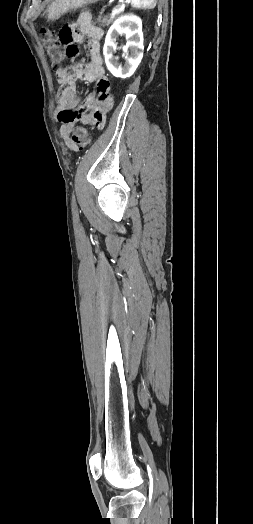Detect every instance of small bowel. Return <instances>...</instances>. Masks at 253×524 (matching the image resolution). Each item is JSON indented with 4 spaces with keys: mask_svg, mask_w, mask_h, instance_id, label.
<instances>
[{
    "mask_svg": "<svg viewBox=\"0 0 253 524\" xmlns=\"http://www.w3.org/2000/svg\"><path fill=\"white\" fill-rule=\"evenodd\" d=\"M103 31L92 23L89 15H82L74 24H62L58 31L59 44H64L65 62H76L81 56L78 42L88 38L90 62L71 64L56 72L60 89L57 94V114L60 122V136L71 148L70 133L76 122L102 128L107 125L108 110L117 102L110 80L105 77L103 59L100 52ZM94 84L91 93L79 103L77 81ZM98 93V96H97ZM66 114L65 119L60 114Z\"/></svg>",
    "mask_w": 253,
    "mask_h": 524,
    "instance_id": "1",
    "label": "small bowel"
}]
</instances>
